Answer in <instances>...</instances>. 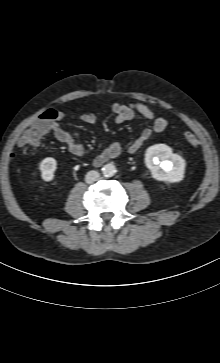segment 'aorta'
Segmentation results:
<instances>
[{
  "mask_svg": "<svg viewBox=\"0 0 220 363\" xmlns=\"http://www.w3.org/2000/svg\"><path fill=\"white\" fill-rule=\"evenodd\" d=\"M102 173L105 177H112L116 173V167L112 163L106 164L102 168Z\"/></svg>",
  "mask_w": 220,
  "mask_h": 363,
  "instance_id": "762f6f07",
  "label": "aorta"
}]
</instances>
